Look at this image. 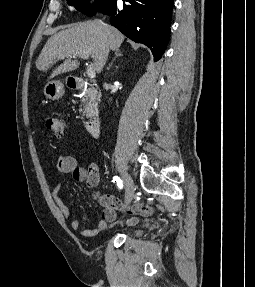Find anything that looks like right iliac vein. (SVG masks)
I'll return each mask as SVG.
<instances>
[{"instance_id": "obj_1", "label": "right iliac vein", "mask_w": 255, "mask_h": 287, "mask_svg": "<svg viewBox=\"0 0 255 287\" xmlns=\"http://www.w3.org/2000/svg\"><path fill=\"white\" fill-rule=\"evenodd\" d=\"M123 178L125 184V206H127L134 197L135 187L132 178L128 174L124 173Z\"/></svg>"}]
</instances>
